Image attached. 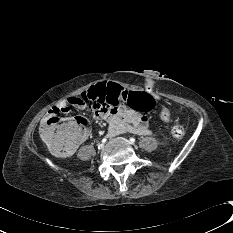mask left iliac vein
<instances>
[{"mask_svg":"<svg viewBox=\"0 0 233 233\" xmlns=\"http://www.w3.org/2000/svg\"><path fill=\"white\" fill-rule=\"evenodd\" d=\"M119 140H121L122 142H125V143H128V140L127 139H125V138H118Z\"/></svg>","mask_w":233,"mask_h":233,"instance_id":"left-iliac-vein-1","label":"left iliac vein"}]
</instances>
